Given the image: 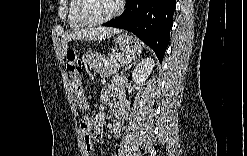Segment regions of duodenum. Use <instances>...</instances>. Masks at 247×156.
<instances>
[{"mask_svg": "<svg viewBox=\"0 0 247 156\" xmlns=\"http://www.w3.org/2000/svg\"><path fill=\"white\" fill-rule=\"evenodd\" d=\"M123 116V110L121 108L117 109L115 112V118L116 119H121Z\"/></svg>", "mask_w": 247, "mask_h": 156, "instance_id": "obj_1", "label": "duodenum"}]
</instances>
